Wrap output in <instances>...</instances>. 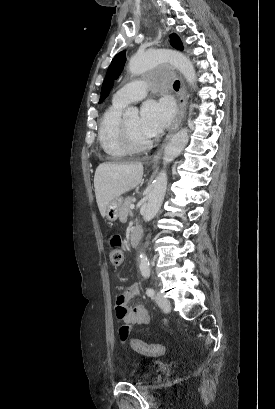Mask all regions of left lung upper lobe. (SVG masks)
Returning a JSON list of instances; mask_svg holds the SVG:
<instances>
[{
  "label": "left lung upper lobe",
  "mask_w": 275,
  "mask_h": 409,
  "mask_svg": "<svg viewBox=\"0 0 275 409\" xmlns=\"http://www.w3.org/2000/svg\"><path fill=\"white\" fill-rule=\"evenodd\" d=\"M170 43L174 48L179 49V50H183L182 42H181L180 38L178 37V35H176L175 33L170 35ZM125 61H126L125 51L119 52L113 58L110 66H109V68L107 70L106 77H105L103 85H102L101 96H100L99 103L103 102L105 97L108 96L111 88L114 85V83H113L114 80L119 77V75L121 74V71L123 70Z\"/></svg>",
  "instance_id": "left-lung-upper-lobe-1"
}]
</instances>
